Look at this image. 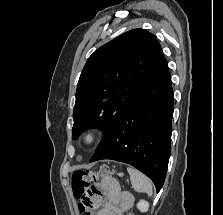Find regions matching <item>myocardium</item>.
<instances>
[{
	"instance_id": "obj_1",
	"label": "myocardium",
	"mask_w": 223,
	"mask_h": 215,
	"mask_svg": "<svg viewBox=\"0 0 223 215\" xmlns=\"http://www.w3.org/2000/svg\"><path fill=\"white\" fill-rule=\"evenodd\" d=\"M97 138V132L94 129L86 130L82 135V143L86 146H90Z\"/></svg>"
}]
</instances>
